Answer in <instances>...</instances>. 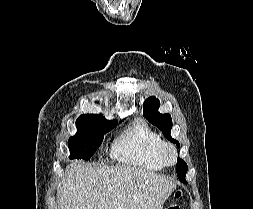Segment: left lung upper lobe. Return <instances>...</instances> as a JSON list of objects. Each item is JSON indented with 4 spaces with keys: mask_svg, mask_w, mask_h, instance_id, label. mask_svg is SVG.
Returning a JSON list of instances; mask_svg holds the SVG:
<instances>
[{
    "mask_svg": "<svg viewBox=\"0 0 253 209\" xmlns=\"http://www.w3.org/2000/svg\"><path fill=\"white\" fill-rule=\"evenodd\" d=\"M160 102L155 97H149L143 104L144 116L153 125L158 127L163 135L173 143H176L178 147L180 144L177 140H174L171 135L172 119L170 114H161L158 112ZM187 172V164L184 160L178 158L177 160V176L182 182H186L185 175Z\"/></svg>",
    "mask_w": 253,
    "mask_h": 209,
    "instance_id": "left-lung-upper-lobe-1",
    "label": "left lung upper lobe"
}]
</instances>
